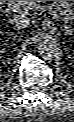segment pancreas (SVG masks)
<instances>
[{
	"mask_svg": "<svg viewBox=\"0 0 74 122\" xmlns=\"http://www.w3.org/2000/svg\"><path fill=\"white\" fill-rule=\"evenodd\" d=\"M29 3H32V5L27 4V5H23V1H9V6H13V5H19L21 7V9L24 10H29L31 8H33L34 6H36V3H38L39 1H28ZM53 3L55 5L60 6L66 21H71L72 20V16H73V4L67 1H53ZM20 9V10H21Z\"/></svg>",
	"mask_w": 74,
	"mask_h": 122,
	"instance_id": "cf45deb5",
	"label": "pancreas"
}]
</instances>
